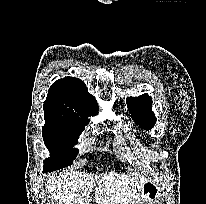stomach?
<instances>
[{"mask_svg":"<svg viewBox=\"0 0 206 204\" xmlns=\"http://www.w3.org/2000/svg\"><path fill=\"white\" fill-rule=\"evenodd\" d=\"M163 193L159 184L153 180H146L141 187L140 195L137 204H158L162 199Z\"/></svg>","mask_w":206,"mask_h":204,"instance_id":"stomach-1","label":"stomach"}]
</instances>
